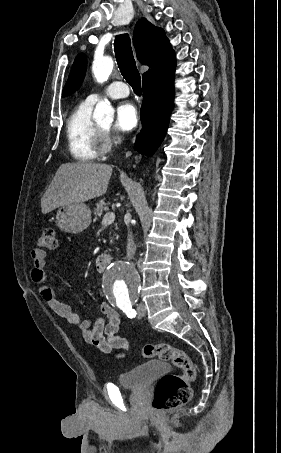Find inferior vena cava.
Segmentation results:
<instances>
[{"label":"inferior vena cava","mask_w":281,"mask_h":453,"mask_svg":"<svg viewBox=\"0 0 281 453\" xmlns=\"http://www.w3.org/2000/svg\"><path fill=\"white\" fill-rule=\"evenodd\" d=\"M126 251H127L128 261H130V259H132V257H134L135 251H136V245L133 241V237H132L131 233H130V235H128Z\"/></svg>","instance_id":"obj_1"}]
</instances>
